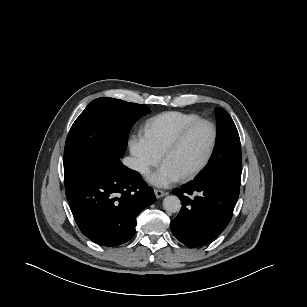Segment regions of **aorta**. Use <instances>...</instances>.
I'll list each match as a JSON object with an SVG mask.
<instances>
[{
  "label": "aorta",
  "instance_id": "obj_1",
  "mask_svg": "<svg viewBox=\"0 0 307 307\" xmlns=\"http://www.w3.org/2000/svg\"><path fill=\"white\" fill-rule=\"evenodd\" d=\"M163 207L167 212L176 213L181 209V201L175 195H170L164 198Z\"/></svg>",
  "mask_w": 307,
  "mask_h": 307
}]
</instances>
